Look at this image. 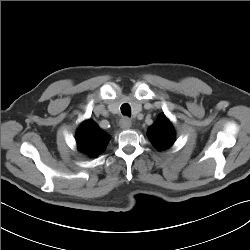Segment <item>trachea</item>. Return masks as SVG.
<instances>
[{
	"mask_svg": "<svg viewBox=\"0 0 250 250\" xmlns=\"http://www.w3.org/2000/svg\"><path fill=\"white\" fill-rule=\"evenodd\" d=\"M121 113L123 115L131 116V108H130V106L128 104H126V103L123 104L121 106Z\"/></svg>",
	"mask_w": 250,
	"mask_h": 250,
	"instance_id": "obj_1",
	"label": "trachea"
}]
</instances>
